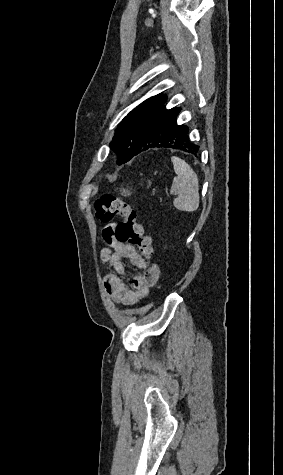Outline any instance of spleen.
<instances>
[{
	"label": "spleen",
	"instance_id": "3e777b00",
	"mask_svg": "<svg viewBox=\"0 0 283 475\" xmlns=\"http://www.w3.org/2000/svg\"><path fill=\"white\" fill-rule=\"evenodd\" d=\"M174 172L177 178H174L170 194L177 196L173 206L181 212H195L199 208V180L197 174L193 172L185 160H180L172 156Z\"/></svg>",
	"mask_w": 283,
	"mask_h": 475
}]
</instances>
